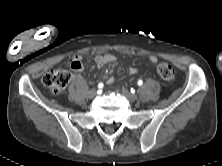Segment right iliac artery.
I'll list each match as a JSON object with an SVG mask.
<instances>
[{"instance_id": "obj_1", "label": "right iliac artery", "mask_w": 222, "mask_h": 166, "mask_svg": "<svg viewBox=\"0 0 222 166\" xmlns=\"http://www.w3.org/2000/svg\"><path fill=\"white\" fill-rule=\"evenodd\" d=\"M98 87H99V88H102V87H103V84H102V83H100V84L98 85Z\"/></svg>"}]
</instances>
